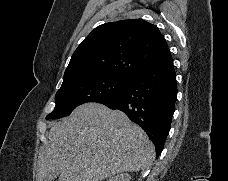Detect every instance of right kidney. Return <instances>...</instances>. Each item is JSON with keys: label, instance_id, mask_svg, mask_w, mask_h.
<instances>
[{"label": "right kidney", "instance_id": "obj_1", "mask_svg": "<svg viewBox=\"0 0 228 181\" xmlns=\"http://www.w3.org/2000/svg\"><path fill=\"white\" fill-rule=\"evenodd\" d=\"M109 181H131V177L128 173H122V175H117V177H111Z\"/></svg>", "mask_w": 228, "mask_h": 181}]
</instances>
